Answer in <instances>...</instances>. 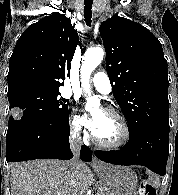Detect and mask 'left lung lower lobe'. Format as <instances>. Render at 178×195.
<instances>
[{
    "label": "left lung lower lobe",
    "instance_id": "0a47b994",
    "mask_svg": "<svg viewBox=\"0 0 178 195\" xmlns=\"http://www.w3.org/2000/svg\"><path fill=\"white\" fill-rule=\"evenodd\" d=\"M168 128H146L129 137L128 143L117 151H95L100 160L117 165H142L164 175L169 155Z\"/></svg>",
    "mask_w": 178,
    "mask_h": 195
}]
</instances>
